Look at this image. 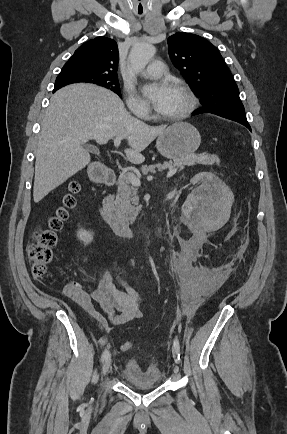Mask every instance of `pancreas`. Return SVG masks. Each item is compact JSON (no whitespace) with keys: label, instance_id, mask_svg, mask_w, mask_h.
I'll list each match as a JSON object with an SVG mask.
<instances>
[{"label":"pancreas","instance_id":"cf45deb5","mask_svg":"<svg viewBox=\"0 0 287 434\" xmlns=\"http://www.w3.org/2000/svg\"><path fill=\"white\" fill-rule=\"evenodd\" d=\"M220 160L216 155H187L174 160V162H167L163 165H150L142 166L141 170L143 174L148 172L154 173L155 168H179V171L183 170L185 166H194L196 164L201 165H214L219 164ZM129 173L123 174L118 179V192L115 198V212L120 217L133 221L139 213V197L137 195V188L133 186L129 181Z\"/></svg>","mask_w":287,"mask_h":434}]
</instances>
